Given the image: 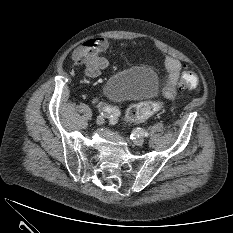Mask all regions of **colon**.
<instances>
[{
	"label": "colon",
	"instance_id": "obj_1",
	"mask_svg": "<svg viewBox=\"0 0 233 233\" xmlns=\"http://www.w3.org/2000/svg\"><path fill=\"white\" fill-rule=\"evenodd\" d=\"M98 47L94 43H86L84 59L92 60L98 55ZM199 86L197 75L189 70L183 71L180 79V87L184 90H196ZM161 109V103L158 101H145L132 105L127 111V118L131 122H141Z\"/></svg>",
	"mask_w": 233,
	"mask_h": 233
}]
</instances>
